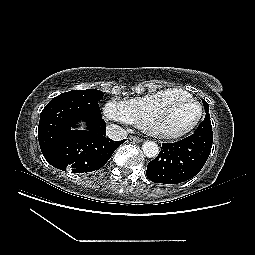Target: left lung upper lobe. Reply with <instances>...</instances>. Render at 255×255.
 <instances>
[{
	"label": "left lung upper lobe",
	"instance_id": "5c2ea615",
	"mask_svg": "<svg viewBox=\"0 0 255 255\" xmlns=\"http://www.w3.org/2000/svg\"><path fill=\"white\" fill-rule=\"evenodd\" d=\"M202 102H203L205 111H209V106H208L207 102L205 100H202Z\"/></svg>",
	"mask_w": 255,
	"mask_h": 255
}]
</instances>
